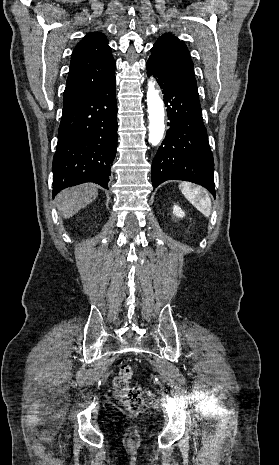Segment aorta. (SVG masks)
I'll return each instance as SVG.
<instances>
[{"label": "aorta", "mask_w": 279, "mask_h": 465, "mask_svg": "<svg viewBox=\"0 0 279 465\" xmlns=\"http://www.w3.org/2000/svg\"><path fill=\"white\" fill-rule=\"evenodd\" d=\"M147 106L149 113V143L156 146L163 139L165 113L163 101L158 90L155 89L153 79L148 81Z\"/></svg>", "instance_id": "762f6f07"}]
</instances>
